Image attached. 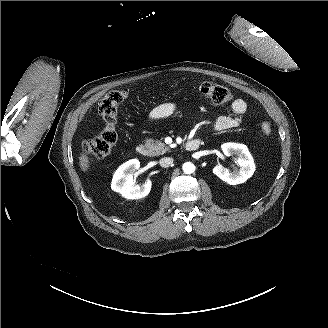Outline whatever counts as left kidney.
I'll return each instance as SVG.
<instances>
[{"instance_id":"5707ae66","label":"left kidney","mask_w":328,"mask_h":328,"mask_svg":"<svg viewBox=\"0 0 328 328\" xmlns=\"http://www.w3.org/2000/svg\"><path fill=\"white\" fill-rule=\"evenodd\" d=\"M221 148L226 156H236V165L239 167V170L232 172L222 164H218L213 168V174L229 185H238L246 182L255 171L253 158L247 147L238 143H225Z\"/></svg>"}]
</instances>
